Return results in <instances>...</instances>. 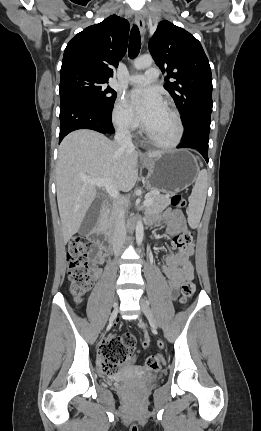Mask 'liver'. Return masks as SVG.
<instances>
[{
    "instance_id": "6515ba94",
    "label": "liver",
    "mask_w": 261,
    "mask_h": 431,
    "mask_svg": "<svg viewBox=\"0 0 261 431\" xmlns=\"http://www.w3.org/2000/svg\"><path fill=\"white\" fill-rule=\"evenodd\" d=\"M161 153L153 151L147 156L155 158ZM140 154L88 129L73 131L63 139L56 166V189L64 243L78 232L97 194L96 186L84 180L107 178L116 189L129 191L138 178Z\"/></svg>"
}]
</instances>
